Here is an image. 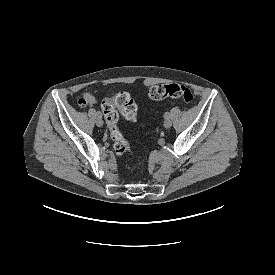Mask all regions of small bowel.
<instances>
[{
  "mask_svg": "<svg viewBox=\"0 0 275 275\" xmlns=\"http://www.w3.org/2000/svg\"><path fill=\"white\" fill-rule=\"evenodd\" d=\"M85 100L88 102V103H95L96 102V99L95 97H93L91 94H86L85 95Z\"/></svg>",
  "mask_w": 275,
  "mask_h": 275,
  "instance_id": "small-bowel-1",
  "label": "small bowel"
}]
</instances>
